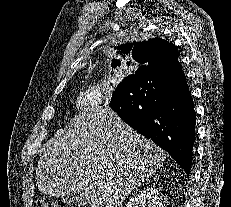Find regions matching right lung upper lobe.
Returning a JSON list of instances; mask_svg holds the SVG:
<instances>
[{
  "label": "right lung upper lobe",
  "instance_id": "obj_1",
  "mask_svg": "<svg viewBox=\"0 0 231 207\" xmlns=\"http://www.w3.org/2000/svg\"><path fill=\"white\" fill-rule=\"evenodd\" d=\"M120 58L119 65L131 57L142 66L159 65L163 68H174L179 64L178 49L162 38H152L143 42H131L114 47ZM128 63V61H127Z\"/></svg>",
  "mask_w": 231,
  "mask_h": 207
}]
</instances>
